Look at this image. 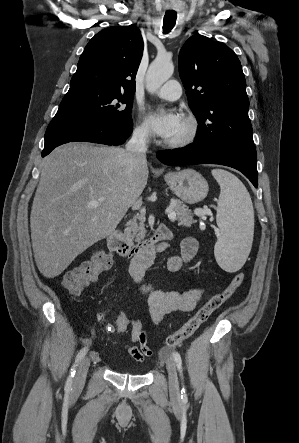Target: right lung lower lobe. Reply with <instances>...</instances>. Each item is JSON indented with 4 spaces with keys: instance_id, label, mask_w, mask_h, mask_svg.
I'll return each instance as SVG.
<instances>
[{
    "instance_id": "right-lung-lower-lobe-1",
    "label": "right lung lower lobe",
    "mask_w": 299,
    "mask_h": 443,
    "mask_svg": "<svg viewBox=\"0 0 299 443\" xmlns=\"http://www.w3.org/2000/svg\"><path fill=\"white\" fill-rule=\"evenodd\" d=\"M132 131V119L74 124L50 122L45 133L42 157L48 155L57 146L68 142L84 141L121 145Z\"/></svg>"
}]
</instances>
